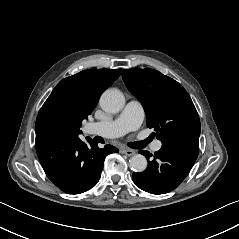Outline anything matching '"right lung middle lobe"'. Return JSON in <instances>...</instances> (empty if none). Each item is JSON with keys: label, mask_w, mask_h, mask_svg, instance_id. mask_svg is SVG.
I'll list each match as a JSON object with an SVG mask.
<instances>
[{"label": "right lung middle lobe", "mask_w": 239, "mask_h": 239, "mask_svg": "<svg viewBox=\"0 0 239 239\" xmlns=\"http://www.w3.org/2000/svg\"><path fill=\"white\" fill-rule=\"evenodd\" d=\"M88 115L84 112L69 108L56 107L50 110L44 118L45 130L57 132L70 137H78L81 133L82 121Z\"/></svg>", "instance_id": "obj_1"}]
</instances>
